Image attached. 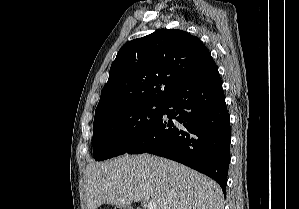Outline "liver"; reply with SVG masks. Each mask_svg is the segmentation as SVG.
<instances>
[{"label": "liver", "instance_id": "obj_1", "mask_svg": "<svg viewBox=\"0 0 299 209\" xmlns=\"http://www.w3.org/2000/svg\"><path fill=\"white\" fill-rule=\"evenodd\" d=\"M88 209L154 202L157 209H223L220 186L177 162L141 154L90 163L85 173Z\"/></svg>", "mask_w": 299, "mask_h": 209}]
</instances>
